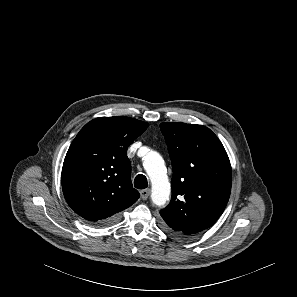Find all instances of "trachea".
Segmentation results:
<instances>
[{
	"label": "trachea",
	"mask_w": 297,
	"mask_h": 297,
	"mask_svg": "<svg viewBox=\"0 0 297 297\" xmlns=\"http://www.w3.org/2000/svg\"><path fill=\"white\" fill-rule=\"evenodd\" d=\"M134 186L137 189H145L148 186L147 178L143 174L136 176L134 180Z\"/></svg>",
	"instance_id": "1"
}]
</instances>
